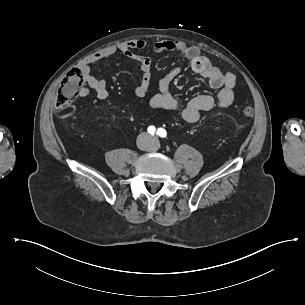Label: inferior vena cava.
Listing matches in <instances>:
<instances>
[{
  "label": "inferior vena cava",
  "instance_id": "inferior-vena-cava-1",
  "mask_svg": "<svg viewBox=\"0 0 305 305\" xmlns=\"http://www.w3.org/2000/svg\"><path fill=\"white\" fill-rule=\"evenodd\" d=\"M151 142L149 141V137L147 141H141V148L143 150H149V146H150Z\"/></svg>",
  "mask_w": 305,
  "mask_h": 305
}]
</instances>
